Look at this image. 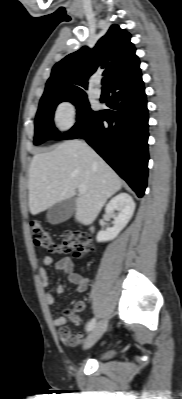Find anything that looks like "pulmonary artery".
<instances>
[{
    "label": "pulmonary artery",
    "mask_w": 182,
    "mask_h": 399,
    "mask_svg": "<svg viewBox=\"0 0 182 399\" xmlns=\"http://www.w3.org/2000/svg\"><path fill=\"white\" fill-rule=\"evenodd\" d=\"M94 94L97 98H99L102 94L101 88L99 86V80H96V87L94 88Z\"/></svg>",
    "instance_id": "e3ab8cb5"
}]
</instances>
